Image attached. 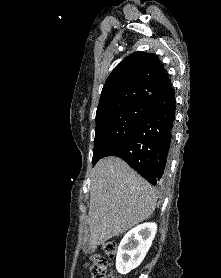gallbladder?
I'll return each instance as SVG.
<instances>
[{"label":"gallbladder","instance_id":"gallbladder-1","mask_svg":"<svg viewBox=\"0 0 221 278\" xmlns=\"http://www.w3.org/2000/svg\"><path fill=\"white\" fill-rule=\"evenodd\" d=\"M84 250H85V251H89L88 245L84 247Z\"/></svg>","mask_w":221,"mask_h":278}]
</instances>
